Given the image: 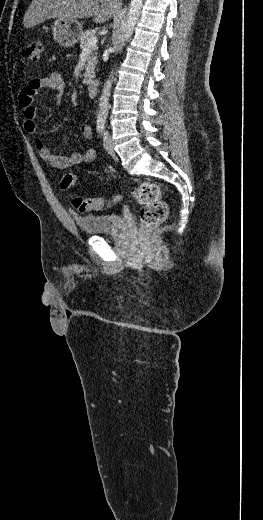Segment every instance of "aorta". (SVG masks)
<instances>
[{"mask_svg": "<svg viewBox=\"0 0 263 520\" xmlns=\"http://www.w3.org/2000/svg\"><path fill=\"white\" fill-rule=\"evenodd\" d=\"M142 5H143V0H131L127 19H126L125 23L122 25L123 45L125 44V42H128L131 39V36L135 29V25L141 14ZM112 82H113V79L109 77V79H107L104 84L102 94L100 97V102H99V112H98L99 120L104 121L106 119V116L108 113V107H109V97L111 95Z\"/></svg>", "mask_w": 263, "mask_h": 520, "instance_id": "obj_1", "label": "aorta"}]
</instances>
